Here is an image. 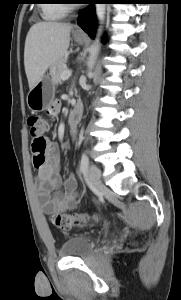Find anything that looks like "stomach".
<instances>
[{
    "label": "stomach",
    "mask_w": 181,
    "mask_h": 300,
    "mask_svg": "<svg viewBox=\"0 0 181 300\" xmlns=\"http://www.w3.org/2000/svg\"><path fill=\"white\" fill-rule=\"evenodd\" d=\"M74 39L82 44L84 38L81 36H74ZM55 94L54 83L49 76H43V78L38 82V84L29 91L27 95L28 107L34 111L39 112L47 109L53 99Z\"/></svg>",
    "instance_id": "1"
}]
</instances>
